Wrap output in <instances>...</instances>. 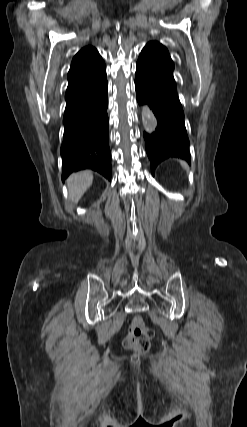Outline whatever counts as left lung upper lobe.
I'll list each match as a JSON object with an SVG mask.
<instances>
[{"mask_svg":"<svg viewBox=\"0 0 247 427\" xmlns=\"http://www.w3.org/2000/svg\"><path fill=\"white\" fill-rule=\"evenodd\" d=\"M139 57L148 60L174 80V63L170 58L168 50L162 44L155 41L149 42L143 48Z\"/></svg>","mask_w":247,"mask_h":427,"instance_id":"5c2ea615","label":"left lung upper lobe"}]
</instances>
